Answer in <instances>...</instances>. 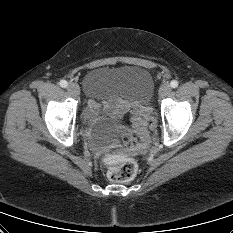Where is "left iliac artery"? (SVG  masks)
<instances>
[{"label":"left iliac artery","mask_w":233,"mask_h":233,"mask_svg":"<svg viewBox=\"0 0 233 233\" xmlns=\"http://www.w3.org/2000/svg\"><path fill=\"white\" fill-rule=\"evenodd\" d=\"M170 86H171L172 88H176V87L178 86V81H177V80H172V81L170 82Z\"/></svg>","instance_id":"obj_1"}]
</instances>
